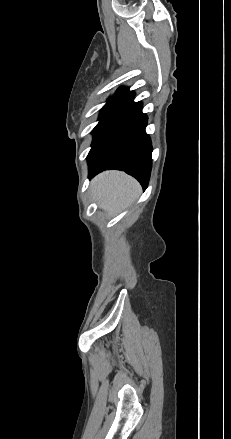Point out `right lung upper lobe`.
Returning a JSON list of instances; mask_svg holds the SVG:
<instances>
[{
	"label": "right lung upper lobe",
	"instance_id": "right-lung-upper-lobe-1",
	"mask_svg": "<svg viewBox=\"0 0 231 439\" xmlns=\"http://www.w3.org/2000/svg\"><path fill=\"white\" fill-rule=\"evenodd\" d=\"M133 96H134V93L129 91L128 88H120V89H118L115 92V94L113 96V99H116V98H133Z\"/></svg>",
	"mask_w": 231,
	"mask_h": 439
}]
</instances>
